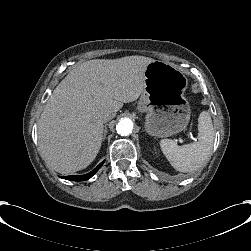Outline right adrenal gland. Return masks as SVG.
I'll list each match as a JSON object with an SVG mask.
<instances>
[{"instance_id":"right-adrenal-gland-1","label":"right adrenal gland","mask_w":251,"mask_h":251,"mask_svg":"<svg viewBox=\"0 0 251 251\" xmlns=\"http://www.w3.org/2000/svg\"><path fill=\"white\" fill-rule=\"evenodd\" d=\"M107 133H108V128H107V126L105 125V126H104V129H103L102 142L105 141L106 136H107Z\"/></svg>"}]
</instances>
